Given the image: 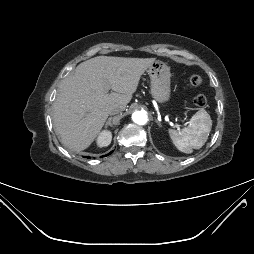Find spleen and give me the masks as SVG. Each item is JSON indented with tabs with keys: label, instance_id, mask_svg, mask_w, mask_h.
Here are the masks:
<instances>
[{
	"label": "spleen",
	"instance_id": "3e777b00",
	"mask_svg": "<svg viewBox=\"0 0 254 254\" xmlns=\"http://www.w3.org/2000/svg\"><path fill=\"white\" fill-rule=\"evenodd\" d=\"M212 128V120L206 110L196 112L189 121V126L181 130H169L170 138L176 148L183 153H192L200 149L208 139Z\"/></svg>",
	"mask_w": 254,
	"mask_h": 254
}]
</instances>
